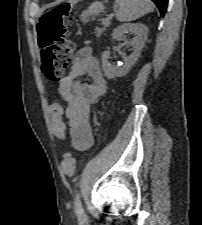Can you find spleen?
<instances>
[{
	"instance_id": "spleen-1",
	"label": "spleen",
	"mask_w": 202,
	"mask_h": 225,
	"mask_svg": "<svg viewBox=\"0 0 202 225\" xmlns=\"http://www.w3.org/2000/svg\"><path fill=\"white\" fill-rule=\"evenodd\" d=\"M118 6L116 18L120 22L133 21L153 12L151 0H115Z\"/></svg>"
}]
</instances>
